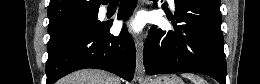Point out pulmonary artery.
<instances>
[{"label": "pulmonary artery", "instance_id": "obj_1", "mask_svg": "<svg viewBox=\"0 0 260 84\" xmlns=\"http://www.w3.org/2000/svg\"><path fill=\"white\" fill-rule=\"evenodd\" d=\"M171 6H174V0H168Z\"/></svg>", "mask_w": 260, "mask_h": 84}]
</instances>
